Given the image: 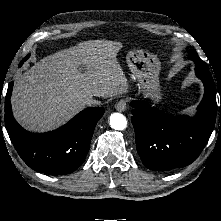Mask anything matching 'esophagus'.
Returning <instances> with one entry per match:
<instances>
[{
	"label": "esophagus",
	"mask_w": 221,
	"mask_h": 221,
	"mask_svg": "<svg viewBox=\"0 0 221 221\" xmlns=\"http://www.w3.org/2000/svg\"><path fill=\"white\" fill-rule=\"evenodd\" d=\"M128 103L127 100L121 99L116 104V109L120 112H124L127 109Z\"/></svg>",
	"instance_id": "esophagus-1"
}]
</instances>
